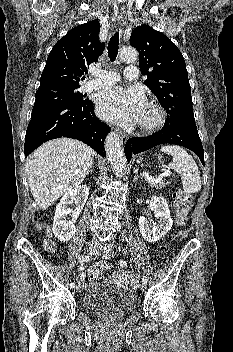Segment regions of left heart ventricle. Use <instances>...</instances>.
I'll use <instances>...</instances> for the list:
<instances>
[{"instance_id": "b2bd125f", "label": "left heart ventricle", "mask_w": 233, "mask_h": 352, "mask_svg": "<svg viewBox=\"0 0 233 352\" xmlns=\"http://www.w3.org/2000/svg\"><path fill=\"white\" fill-rule=\"evenodd\" d=\"M149 116H150V113H149V111L145 108L144 113H143V115H142V118H146V117H149Z\"/></svg>"}]
</instances>
